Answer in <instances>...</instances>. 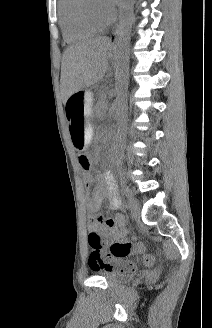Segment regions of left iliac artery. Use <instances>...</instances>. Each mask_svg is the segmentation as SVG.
<instances>
[{"instance_id":"44dca946","label":"left iliac artery","mask_w":212,"mask_h":328,"mask_svg":"<svg viewBox=\"0 0 212 328\" xmlns=\"http://www.w3.org/2000/svg\"><path fill=\"white\" fill-rule=\"evenodd\" d=\"M122 190H123V193L125 194V196L129 197L130 190H129L128 186H126L125 184H122Z\"/></svg>"}]
</instances>
